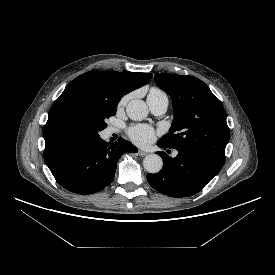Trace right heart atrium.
Wrapping results in <instances>:
<instances>
[{
  "label": "right heart atrium",
  "mask_w": 275,
  "mask_h": 275,
  "mask_svg": "<svg viewBox=\"0 0 275 275\" xmlns=\"http://www.w3.org/2000/svg\"><path fill=\"white\" fill-rule=\"evenodd\" d=\"M128 98H129L128 95L123 96V97L120 99L119 103H118V107H119V108L123 107V106L127 103Z\"/></svg>",
  "instance_id": "right-heart-atrium-1"
}]
</instances>
